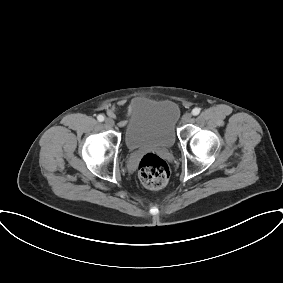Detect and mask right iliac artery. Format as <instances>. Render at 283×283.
Returning <instances> with one entry per match:
<instances>
[{
	"mask_svg": "<svg viewBox=\"0 0 283 283\" xmlns=\"http://www.w3.org/2000/svg\"><path fill=\"white\" fill-rule=\"evenodd\" d=\"M97 119H98L99 122H102V121H104V116L103 115H98Z\"/></svg>",
	"mask_w": 283,
	"mask_h": 283,
	"instance_id": "right-iliac-artery-1",
	"label": "right iliac artery"
}]
</instances>
